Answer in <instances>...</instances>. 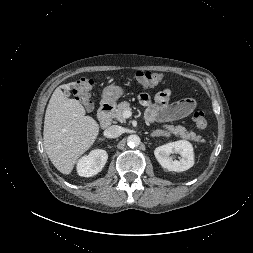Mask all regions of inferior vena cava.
<instances>
[{"label":"inferior vena cava","mask_w":253,"mask_h":253,"mask_svg":"<svg viewBox=\"0 0 253 253\" xmlns=\"http://www.w3.org/2000/svg\"><path fill=\"white\" fill-rule=\"evenodd\" d=\"M123 133V128L118 125H112L105 129L104 136L108 138H116Z\"/></svg>","instance_id":"602c4592"}]
</instances>
